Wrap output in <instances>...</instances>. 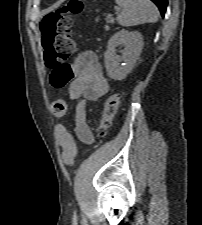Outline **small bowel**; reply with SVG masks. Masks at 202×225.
Segmentation results:
<instances>
[{
    "label": "small bowel",
    "instance_id": "1",
    "mask_svg": "<svg viewBox=\"0 0 202 225\" xmlns=\"http://www.w3.org/2000/svg\"><path fill=\"white\" fill-rule=\"evenodd\" d=\"M73 79L68 86L69 98L76 101L73 114L74 133L85 144L93 142V133L86 118V103L95 101L108 91V83L103 76L101 64L97 55L90 50H82L74 58L72 64ZM68 133L60 129L57 138L63 146L62 136Z\"/></svg>",
    "mask_w": 202,
    "mask_h": 225
}]
</instances>
